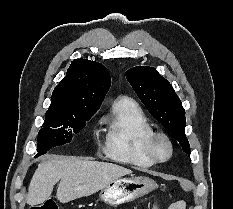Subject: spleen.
Returning a JSON list of instances; mask_svg holds the SVG:
<instances>
[{
    "label": "spleen",
    "mask_w": 233,
    "mask_h": 209,
    "mask_svg": "<svg viewBox=\"0 0 233 209\" xmlns=\"http://www.w3.org/2000/svg\"><path fill=\"white\" fill-rule=\"evenodd\" d=\"M186 203L184 201H179L174 204H172L169 209H185Z\"/></svg>",
    "instance_id": "obj_1"
}]
</instances>
